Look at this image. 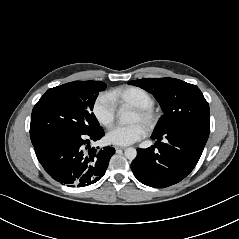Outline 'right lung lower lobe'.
I'll return each instance as SVG.
<instances>
[{"label": "right lung lower lobe", "instance_id": "1", "mask_svg": "<svg viewBox=\"0 0 239 239\" xmlns=\"http://www.w3.org/2000/svg\"><path fill=\"white\" fill-rule=\"evenodd\" d=\"M104 136L102 127L89 133L56 131L44 135L34 146L45 171L68 186L84 187L97 182L115 153L112 147L90 148L89 141Z\"/></svg>", "mask_w": 239, "mask_h": 239}]
</instances>
